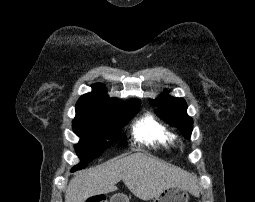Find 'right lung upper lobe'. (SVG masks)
Instances as JSON below:
<instances>
[{"label":"right lung upper lobe","instance_id":"cb5924a9","mask_svg":"<svg viewBox=\"0 0 255 202\" xmlns=\"http://www.w3.org/2000/svg\"><path fill=\"white\" fill-rule=\"evenodd\" d=\"M93 92L82 95L76 104V117H104L134 105H139V100L123 103L117 98H110L101 83L92 86Z\"/></svg>","mask_w":255,"mask_h":202}]
</instances>
